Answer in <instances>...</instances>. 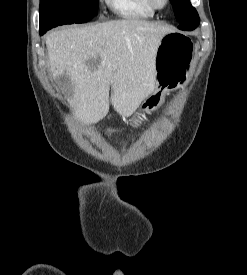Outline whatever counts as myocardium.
Returning a JSON list of instances; mask_svg holds the SVG:
<instances>
[{
  "label": "myocardium",
  "mask_w": 247,
  "mask_h": 275,
  "mask_svg": "<svg viewBox=\"0 0 247 275\" xmlns=\"http://www.w3.org/2000/svg\"><path fill=\"white\" fill-rule=\"evenodd\" d=\"M148 1L155 10H162L166 8L169 4V0H163L162 2H160L159 0H148Z\"/></svg>",
  "instance_id": "1"
}]
</instances>
